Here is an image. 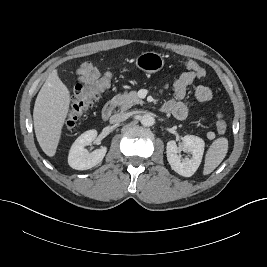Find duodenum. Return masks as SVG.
Returning a JSON list of instances; mask_svg holds the SVG:
<instances>
[{
    "instance_id": "duodenum-1",
    "label": "duodenum",
    "mask_w": 267,
    "mask_h": 267,
    "mask_svg": "<svg viewBox=\"0 0 267 267\" xmlns=\"http://www.w3.org/2000/svg\"><path fill=\"white\" fill-rule=\"evenodd\" d=\"M115 103L113 101L107 102L102 108V117L108 120L114 113Z\"/></svg>"
}]
</instances>
